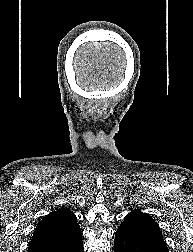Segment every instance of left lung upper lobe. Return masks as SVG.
<instances>
[{
    "mask_svg": "<svg viewBox=\"0 0 193 252\" xmlns=\"http://www.w3.org/2000/svg\"><path fill=\"white\" fill-rule=\"evenodd\" d=\"M119 228L139 231H156L161 234L157 222H155V220H153L151 216L139 212L138 210L132 211L127 216H125V219L121 223Z\"/></svg>",
    "mask_w": 193,
    "mask_h": 252,
    "instance_id": "5c2ea615",
    "label": "left lung upper lobe"
}]
</instances>
